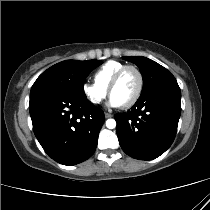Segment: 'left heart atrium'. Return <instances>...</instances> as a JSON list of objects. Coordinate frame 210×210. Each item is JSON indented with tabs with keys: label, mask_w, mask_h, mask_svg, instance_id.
I'll list each match as a JSON object with an SVG mask.
<instances>
[{
	"label": "left heart atrium",
	"mask_w": 210,
	"mask_h": 210,
	"mask_svg": "<svg viewBox=\"0 0 210 210\" xmlns=\"http://www.w3.org/2000/svg\"><path fill=\"white\" fill-rule=\"evenodd\" d=\"M108 104L111 107H119V106H121L119 101L116 98H114L113 96L110 97Z\"/></svg>",
	"instance_id": "left-heart-atrium-1"
}]
</instances>
